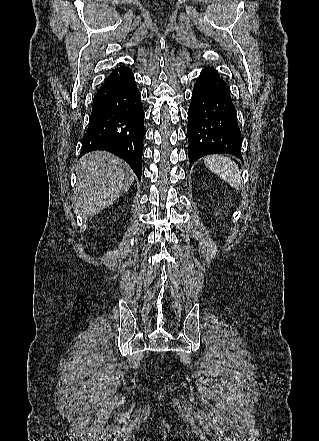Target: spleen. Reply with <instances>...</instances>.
<instances>
[{
    "label": "spleen",
    "mask_w": 319,
    "mask_h": 441,
    "mask_svg": "<svg viewBox=\"0 0 319 441\" xmlns=\"http://www.w3.org/2000/svg\"><path fill=\"white\" fill-rule=\"evenodd\" d=\"M206 167L225 180L236 190L241 189V173L238 166L228 157L221 155H210L205 157Z\"/></svg>",
    "instance_id": "spleen-1"
}]
</instances>
